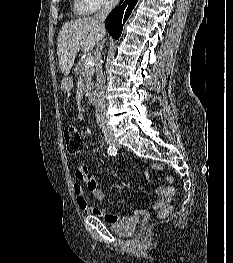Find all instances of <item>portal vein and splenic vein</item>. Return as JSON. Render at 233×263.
I'll list each match as a JSON object with an SVG mask.
<instances>
[{"mask_svg": "<svg viewBox=\"0 0 233 263\" xmlns=\"http://www.w3.org/2000/svg\"><path fill=\"white\" fill-rule=\"evenodd\" d=\"M94 64V57L92 55H88L85 59V66H92Z\"/></svg>", "mask_w": 233, "mask_h": 263, "instance_id": "18ae733b", "label": "portal vein and splenic vein"}]
</instances>
